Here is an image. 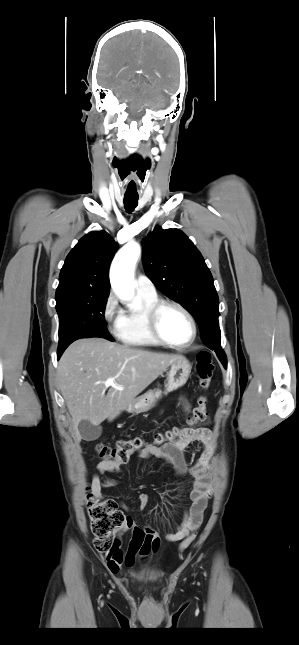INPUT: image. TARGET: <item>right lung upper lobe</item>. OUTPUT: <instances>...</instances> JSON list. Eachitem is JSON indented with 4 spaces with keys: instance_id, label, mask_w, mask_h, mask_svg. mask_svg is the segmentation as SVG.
Returning <instances> with one entry per match:
<instances>
[{
    "instance_id": "right-lung-upper-lobe-1",
    "label": "right lung upper lobe",
    "mask_w": 299,
    "mask_h": 645,
    "mask_svg": "<svg viewBox=\"0 0 299 645\" xmlns=\"http://www.w3.org/2000/svg\"><path fill=\"white\" fill-rule=\"evenodd\" d=\"M117 243L105 231L85 235L68 254L56 290V304L75 296L109 294L108 270Z\"/></svg>"
}]
</instances>
